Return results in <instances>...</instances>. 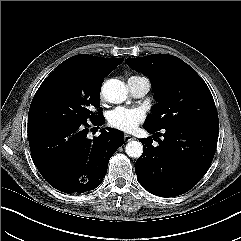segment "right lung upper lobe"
<instances>
[{
    "instance_id": "cb5924a9",
    "label": "right lung upper lobe",
    "mask_w": 241,
    "mask_h": 241,
    "mask_svg": "<svg viewBox=\"0 0 241 241\" xmlns=\"http://www.w3.org/2000/svg\"><path fill=\"white\" fill-rule=\"evenodd\" d=\"M123 60V58H99L80 54L70 57L65 62L75 67L80 78L101 86L104 78Z\"/></svg>"
}]
</instances>
